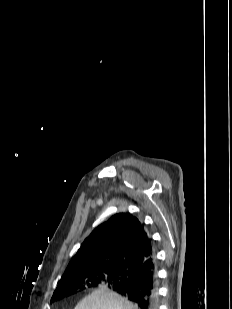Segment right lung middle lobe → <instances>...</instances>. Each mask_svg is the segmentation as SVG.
I'll return each mask as SVG.
<instances>
[{
    "mask_svg": "<svg viewBox=\"0 0 232 309\" xmlns=\"http://www.w3.org/2000/svg\"><path fill=\"white\" fill-rule=\"evenodd\" d=\"M128 276L124 272L95 270L82 272L74 277L67 279L58 286L51 298V302L59 300L63 297L75 294L83 288L92 286L117 287L125 284Z\"/></svg>",
    "mask_w": 232,
    "mask_h": 309,
    "instance_id": "1",
    "label": "right lung middle lobe"
}]
</instances>
